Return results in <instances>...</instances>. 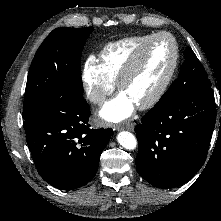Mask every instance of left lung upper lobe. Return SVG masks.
<instances>
[{
    "mask_svg": "<svg viewBox=\"0 0 221 221\" xmlns=\"http://www.w3.org/2000/svg\"><path fill=\"white\" fill-rule=\"evenodd\" d=\"M184 56L185 62L181 66L178 78L161 99L177 97L197 89L211 88V82L204 67L190 47H187Z\"/></svg>",
    "mask_w": 221,
    "mask_h": 221,
    "instance_id": "1",
    "label": "left lung upper lobe"
}]
</instances>
